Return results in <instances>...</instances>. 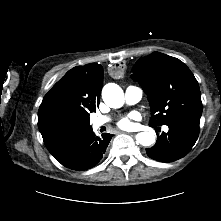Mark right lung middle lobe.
Returning a JSON list of instances; mask_svg holds the SVG:
<instances>
[{
    "label": "right lung middle lobe",
    "mask_w": 221,
    "mask_h": 221,
    "mask_svg": "<svg viewBox=\"0 0 221 221\" xmlns=\"http://www.w3.org/2000/svg\"><path fill=\"white\" fill-rule=\"evenodd\" d=\"M90 123H88L87 128L85 131H88L89 129H91V127L89 126ZM61 130L66 133V134H72L75 132V130L73 128L70 127H62Z\"/></svg>",
    "instance_id": "obj_1"
}]
</instances>
